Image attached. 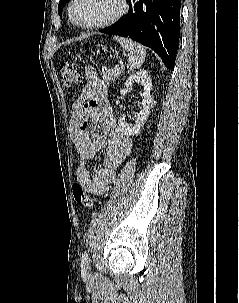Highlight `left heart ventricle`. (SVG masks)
<instances>
[{"label":"left heart ventricle","instance_id":"left-heart-ventricle-1","mask_svg":"<svg viewBox=\"0 0 239 303\" xmlns=\"http://www.w3.org/2000/svg\"><path fill=\"white\" fill-rule=\"evenodd\" d=\"M119 8V0H79L76 17L82 24L97 23L115 15Z\"/></svg>","mask_w":239,"mask_h":303}]
</instances>
